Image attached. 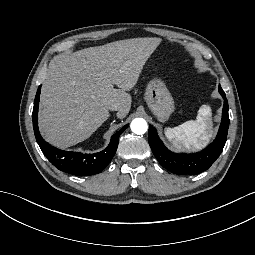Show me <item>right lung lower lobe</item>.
I'll list each match as a JSON object with an SVG mask.
<instances>
[{"label":"right lung lower lobe","instance_id":"obj_1","mask_svg":"<svg viewBox=\"0 0 255 255\" xmlns=\"http://www.w3.org/2000/svg\"><path fill=\"white\" fill-rule=\"evenodd\" d=\"M39 86L32 113L33 128L37 143L47 159L59 170L78 176H89L101 172L112 160L119 143L121 133L128 125L117 131L112 137L106 149L95 154H82L73 151L59 150L43 140L38 129V106H39Z\"/></svg>","mask_w":255,"mask_h":255}]
</instances>
